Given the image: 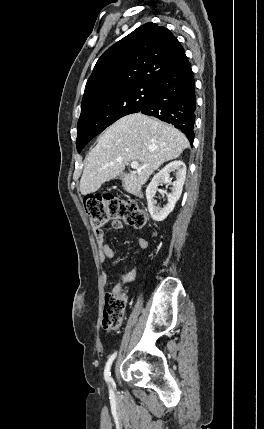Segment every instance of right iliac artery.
<instances>
[{"mask_svg":"<svg viewBox=\"0 0 264 429\" xmlns=\"http://www.w3.org/2000/svg\"><path fill=\"white\" fill-rule=\"evenodd\" d=\"M116 354H117V353L115 352V353H113V354L110 356V358H109V360L107 361L106 366H105V370H104V378H105L106 382H108V383L113 382V380H112V378H111V374H110V368H111V365H112L113 360H114V359H115V357H116Z\"/></svg>","mask_w":264,"mask_h":429,"instance_id":"obj_1","label":"right iliac artery"}]
</instances>
